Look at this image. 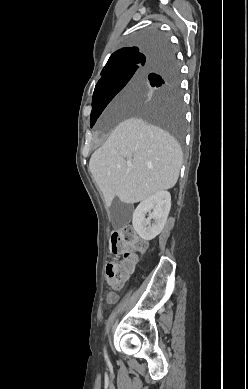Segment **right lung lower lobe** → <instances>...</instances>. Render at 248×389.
Here are the masks:
<instances>
[{"label":"right lung lower lobe","instance_id":"1","mask_svg":"<svg viewBox=\"0 0 248 389\" xmlns=\"http://www.w3.org/2000/svg\"><path fill=\"white\" fill-rule=\"evenodd\" d=\"M170 49V46L169 44H166L164 47H162L159 51H158V54L160 55L159 58L163 57ZM158 58V59H159ZM161 75L158 74V73H153V78L154 79H157L158 77H160Z\"/></svg>","mask_w":248,"mask_h":389}]
</instances>
